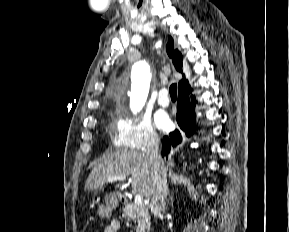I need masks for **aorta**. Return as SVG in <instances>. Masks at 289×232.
Listing matches in <instances>:
<instances>
[{
	"instance_id": "obj_1",
	"label": "aorta",
	"mask_w": 289,
	"mask_h": 232,
	"mask_svg": "<svg viewBox=\"0 0 289 232\" xmlns=\"http://www.w3.org/2000/svg\"><path fill=\"white\" fill-rule=\"evenodd\" d=\"M133 101L132 108L134 112L140 111L144 106L150 87L151 73L150 68L145 62H138L133 67Z\"/></svg>"
}]
</instances>
